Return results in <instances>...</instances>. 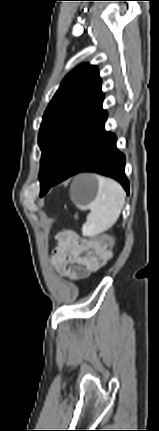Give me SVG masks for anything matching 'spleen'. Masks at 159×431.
I'll use <instances>...</instances> for the list:
<instances>
[{
	"mask_svg": "<svg viewBox=\"0 0 159 431\" xmlns=\"http://www.w3.org/2000/svg\"><path fill=\"white\" fill-rule=\"evenodd\" d=\"M97 179L98 194L87 207L90 213L82 226V232L87 236H94L109 230L118 220L125 204V191L118 182L100 175H97Z\"/></svg>",
	"mask_w": 159,
	"mask_h": 431,
	"instance_id": "spleen-1",
	"label": "spleen"
}]
</instances>
